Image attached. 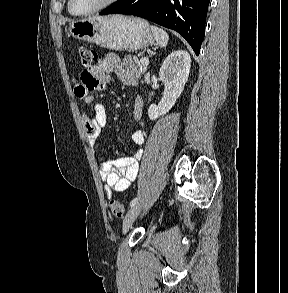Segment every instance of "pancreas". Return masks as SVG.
<instances>
[{
    "mask_svg": "<svg viewBox=\"0 0 288 293\" xmlns=\"http://www.w3.org/2000/svg\"><path fill=\"white\" fill-rule=\"evenodd\" d=\"M123 63L127 70L136 75L137 78L142 77L146 73V65H142L136 57L132 59L131 55H127L124 57Z\"/></svg>",
    "mask_w": 288,
    "mask_h": 293,
    "instance_id": "cf45deb5",
    "label": "pancreas"
}]
</instances>
